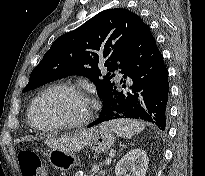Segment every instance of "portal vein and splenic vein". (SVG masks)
<instances>
[{"instance_id": "portal-vein-and-splenic-vein-1", "label": "portal vein and splenic vein", "mask_w": 205, "mask_h": 176, "mask_svg": "<svg viewBox=\"0 0 205 176\" xmlns=\"http://www.w3.org/2000/svg\"><path fill=\"white\" fill-rule=\"evenodd\" d=\"M111 161H112L111 157H108L105 161V165H110Z\"/></svg>"}]
</instances>
